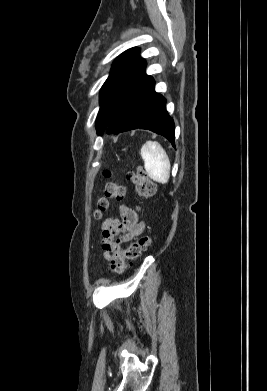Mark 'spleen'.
Returning a JSON list of instances; mask_svg holds the SVG:
<instances>
[{
  "label": "spleen",
  "instance_id": "3e777b00",
  "mask_svg": "<svg viewBox=\"0 0 267 391\" xmlns=\"http://www.w3.org/2000/svg\"><path fill=\"white\" fill-rule=\"evenodd\" d=\"M141 157L148 176L161 184H166L170 177V160L158 142L147 141L141 148Z\"/></svg>",
  "mask_w": 267,
  "mask_h": 391
}]
</instances>
